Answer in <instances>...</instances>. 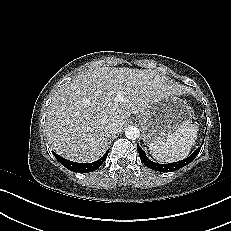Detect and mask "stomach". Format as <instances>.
Listing matches in <instances>:
<instances>
[{
	"label": "stomach",
	"mask_w": 231,
	"mask_h": 231,
	"mask_svg": "<svg viewBox=\"0 0 231 231\" xmlns=\"http://www.w3.org/2000/svg\"><path fill=\"white\" fill-rule=\"evenodd\" d=\"M191 118L192 111L184 100L173 94L159 98L141 116L144 142L151 144L166 139L189 124Z\"/></svg>",
	"instance_id": "0dacf381"
}]
</instances>
